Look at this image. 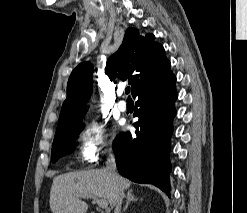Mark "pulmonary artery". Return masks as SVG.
<instances>
[{"label":"pulmonary artery","instance_id":"pulmonary-artery-1","mask_svg":"<svg viewBox=\"0 0 247 213\" xmlns=\"http://www.w3.org/2000/svg\"><path fill=\"white\" fill-rule=\"evenodd\" d=\"M123 94L122 90L118 91V96L121 97ZM117 109L121 112H125L127 110V103L124 100H119L116 104Z\"/></svg>","mask_w":247,"mask_h":213}]
</instances>
